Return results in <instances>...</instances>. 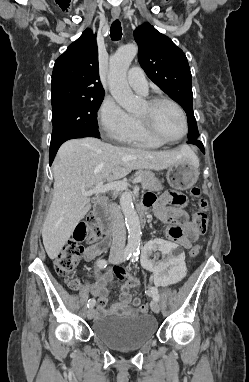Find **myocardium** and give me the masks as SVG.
<instances>
[{
	"label": "myocardium",
	"mask_w": 249,
	"mask_h": 382,
	"mask_svg": "<svg viewBox=\"0 0 249 382\" xmlns=\"http://www.w3.org/2000/svg\"><path fill=\"white\" fill-rule=\"evenodd\" d=\"M161 103L170 104L174 108H176V110L179 112L181 119H182V122H183V132L179 137L174 138V139L162 137L157 132V130L155 129L154 124H153L150 117H145V118L138 117V120H139L141 127H142L143 131L145 132V134L147 136H149L150 138H152L153 140H155L156 142L161 143V144L177 143V142L181 141L188 133L187 115H186L184 109L182 108V106L178 102H176L175 100L170 99L168 97L159 96V97L151 98V99L146 101V104L148 105V107L150 109L155 108L157 105H159Z\"/></svg>",
	"instance_id": "myocardium-1"
}]
</instances>
